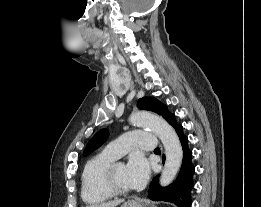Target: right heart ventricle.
<instances>
[{"mask_svg":"<svg viewBox=\"0 0 261 207\" xmlns=\"http://www.w3.org/2000/svg\"><path fill=\"white\" fill-rule=\"evenodd\" d=\"M115 157L106 151L90 158L81 174V197L87 204H99L109 200L112 195L105 186L104 175Z\"/></svg>","mask_w":261,"mask_h":207,"instance_id":"e07e8e85","label":"right heart ventricle"}]
</instances>
